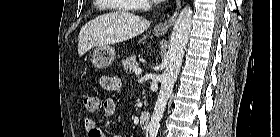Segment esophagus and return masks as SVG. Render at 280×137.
Returning a JSON list of instances; mask_svg holds the SVG:
<instances>
[{
  "label": "esophagus",
  "mask_w": 280,
  "mask_h": 137,
  "mask_svg": "<svg viewBox=\"0 0 280 137\" xmlns=\"http://www.w3.org/2000/svg\"><path fill=\"white\" fill-rule=\"evenodd\" d=\"M175 3H176V8L172 16L168 20L161 22L155 26L154 31L156 33L164 34L174 24L180 10L181 1L176 0Z\"/></svg>",
  "instance_id": "obj_1"
}]
</instances>
